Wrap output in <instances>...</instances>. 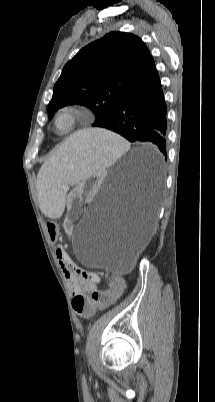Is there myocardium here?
Segmentation results:
<instances>
[{
	"mask_svg": "<svg viewBox=\"0 0 215 402\" xmlns=\"http://www.w3.org/2000/svg\"><path fill=\"white\" fill-rule=\"evenodd\" d=\"M84 112L72 105L61 107L56 111L52 119V127L59 135H68L80 125ZM64 123L61 126V123Z\"/></svg>",
	"mask_w": 215,
	"mask_h": 402,
	"instance_id": "myocardium-1",
	"label": "myocardium"
}]
</instances>
